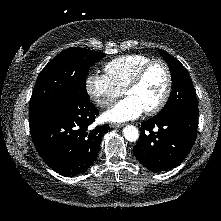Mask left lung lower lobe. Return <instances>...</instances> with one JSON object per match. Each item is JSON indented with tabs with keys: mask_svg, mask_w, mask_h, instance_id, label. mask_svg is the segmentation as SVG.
Listing matches in <instances>:
<instances>
[{
	"mask_svg": "<svg viewBox=\"0 0 221 221\" xmlns=\"http://www.w3.org/2000/svg\"><path fill=\"white\" fill-rule=\"evenodd\" d=\"M198 125V114L185 111L159 113L142 122L140 138L133 148L147 169L158 172L179 165L190 152Z\"/></svg>",
	"mask_w": 221,
	"mask_h": 221,
	"instance_id": "left-lung-lower-lobe-1",
	"label": "left lung lower lobe"
}]
</instances>
